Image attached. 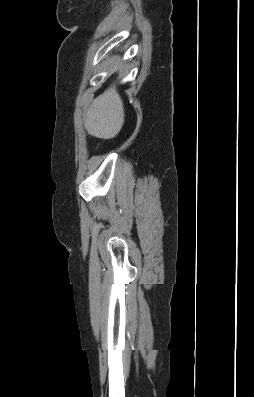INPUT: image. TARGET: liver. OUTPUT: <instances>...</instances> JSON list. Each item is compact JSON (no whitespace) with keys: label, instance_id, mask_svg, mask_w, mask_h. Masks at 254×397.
Instances as JSON below:
<instances>
[{"label":"liver","instance_id":"1","mask_svg":"<svg viewBox=\"0 0 254 397\" xmlns=\"http://www.w3.org/2000/svg\"><path fill=\"white\" fill-rule=\"evenodd\" d=\"M124 124V107L114 87L107 89L91 103L84 120L88 134L101 138H114Z\"/></svg>","mask_w":254,"mask_h":397}]
</instances>
